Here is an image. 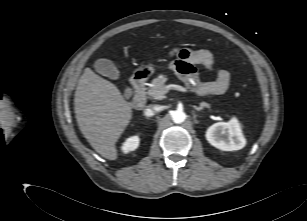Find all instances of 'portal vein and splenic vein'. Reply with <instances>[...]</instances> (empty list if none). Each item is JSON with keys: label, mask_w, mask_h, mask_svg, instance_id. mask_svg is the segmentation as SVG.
<instances>
[{"label": "portal vein and splenic vein", "mask_w": 307, "mask_h": 221, "mask_svg": "<svg viewBox=\"0 0 307 221\" xmlns=\"http://www.w3.org/2000/svg\"><path fill=\"white\" fill-rule=\"evenodd\" d=\"M170 89H175V90H179V91H182V92H186V88H184L180 85L170 84V85H167L165 87L164 93H167V91L170 90Z\"/></svg>", "instance_id": "18ae733b"}]
</instances>
